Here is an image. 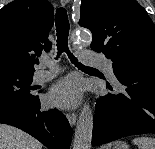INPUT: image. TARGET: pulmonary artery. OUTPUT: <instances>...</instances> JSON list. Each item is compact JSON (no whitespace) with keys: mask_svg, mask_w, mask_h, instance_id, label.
<instances>
[{"mask_svg":"<svg viewBox=\"0 0 155 149\" xmlns=\"http://www.w3.org/2000/svg\"><path fill=\"white\" fill-rule=\"evenodd\" d=\"M81 63L90 66H100L109 74L110 77L115 79L112 64L106 58L88 50H84L80 54ZM42 65L48 69H40L34 75V80L37 83L49 81L59 72V68L49 58H42Z\"/></svg>","mask_w":155,"mask_h":149,"instance_id":"obj_1","label":"pulmonary artery"}]
</instances>
